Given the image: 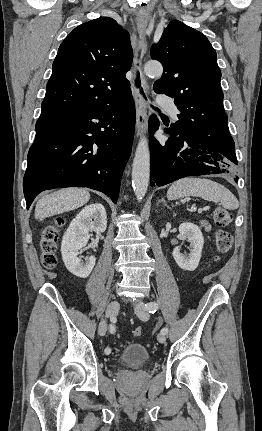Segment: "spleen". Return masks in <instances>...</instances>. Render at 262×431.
<instances>
[{"label": "spleen", "instance_id": "spleen-1", "mask_svg": "<svg viewBox=\"0 0 262 431\" xmlns=\"http://www.w3.org/2000/svg\"><path fill=\"white\" fill-rule=\"evenodd\" d=\"M185 196H196L208 201L219 202L228 210H235L239 207L237 198L230 190L210 179L186 177L174 182L167 191L169 200Z\"/></svg>", "mask_w": 262, "mask_h": 431}]
</instances>
